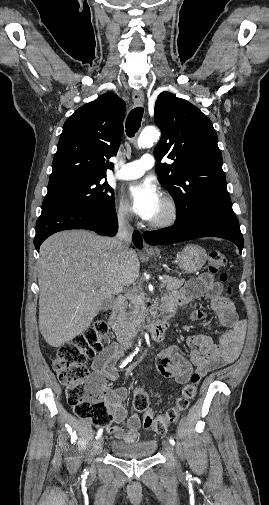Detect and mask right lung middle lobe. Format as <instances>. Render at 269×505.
<instances>
[{
  "label": "right lung middle lobe",
  "mask_w": 269,
  "mask_h": 505,
  "mask_svg": "<svg viewBox=\"0 0 269 505\" xmlns=\"http://www.w3.org/2000/svg\"><path fill=\"white\" fill-rule=\"evenodd\" d=\"M62 203L83 206L101 215H110L115 208L113 189L102 179L48 188L42 208Z\"/></svg>",
  "instance_id": "dd1d6c3e"
}]
</instances>
